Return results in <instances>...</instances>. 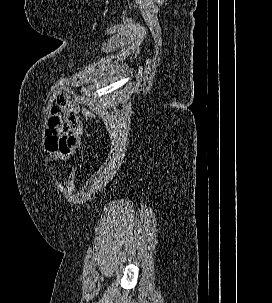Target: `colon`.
<instances>
[{
	"label": "colon",
	"mask_w": 272,
	"mask_h": 303,
	"mask_svg": "<svg viewBox=\"0 0 272 303\" xmlns=\"http://www.w3.org/2000/svg\"><path fill=\"white\" fill-rule=\"evenodd\" d=\"M83 115L87 120H91L94 117L93 112L87 108L83 110ZM76 176H77V166L73 167L69 174L68 185L71 189H73L75 186Z\"/></svg>",
	"instance_id": "1"
}]
</instances>
